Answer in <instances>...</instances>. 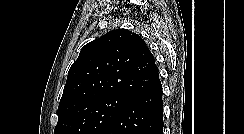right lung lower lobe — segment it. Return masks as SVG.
Instances as JSON below:
<instances>
[{"label": "right lung lower lobe", "instance_id": "98d812e1", "mask_svg": "<svg viewBox=\"0 0 244 134\" xmlns=\"http://www.w3.org/2000/svg\"><path fill=\"white\" fill-rule=\"evenodd\" d=\"M162 85L132 96L101 134H163Z\"/></svg>", "mask_w": 244, "mask_h": 134}]
</instances>
